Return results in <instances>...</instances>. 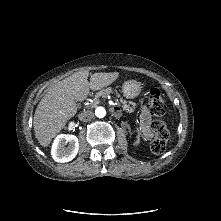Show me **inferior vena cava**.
<instances>
[{
	"instance_id": "inferior-vena-cava-1",
	"label": "inferior vena cava",
	"mask_w": 221,
	"mask_h": 221,
	"mask_svg": "<svg viewBox=\"0 0 221 221\" xmlns=\"http://www.w3.org/2000/svg\"><path fill=\"white\" fill-rule=\"evenodd\" d=\"M94 117V113L90 110L84 111L79 114V119L83 122L90 121Z\"/></svg>"
}]
</instances>
